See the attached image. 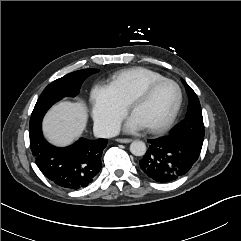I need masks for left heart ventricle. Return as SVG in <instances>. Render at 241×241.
I'll list each match as a JSON object with an SVG mask.
<instances>
[{"label":"left heart ventricle","instance_id":"b2bd125f","mask_svg":"<svg viewBox=\"0 0 241 241\" xmlns=\"http://www.w3.org/2000/svg\"><path fill=\"white\" fill-rule=\"evenodd\" d=\"M178 100L176 87L170 83L158 86L149 98L138 105L133 111L145 127L164 124L172 115Z\"/></svg>","mask_w":241,"mask_h":241}]
</instances>
